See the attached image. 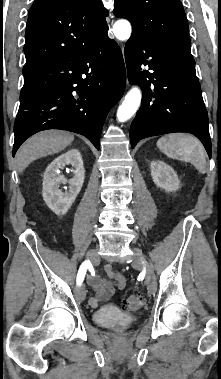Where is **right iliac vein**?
<instances>
[{
    "instance_id": "63e3f726",
    "label": "right iliac vein",
    "mask_w": 221,
    "mask_h": 379,
    "mask_svg": "<svg viewBox=\"0 0 221 379\" xmlns=\"http://www.w3.org/2000/svg\"><path fill=\"white\" fill-rule=\"evenodd\" d=\"M87 258L90 259L92 262H95L98 258L97 251L92 249L87 253ZM76 297L80 300L83 301L86 298V290L85 287L80 285L76 289Z\"/></svg>"
}]
</instances>
